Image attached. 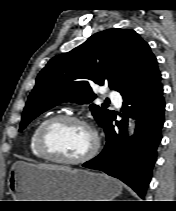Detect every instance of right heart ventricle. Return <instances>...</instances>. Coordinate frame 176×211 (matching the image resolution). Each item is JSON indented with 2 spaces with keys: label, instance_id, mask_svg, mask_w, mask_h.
I'll use <instances>...</instances> for the list:
<instances>
[{
  "label": "right heart ventricle",
  "instance_id": "1",
  "mask_svg": "<svg viewBox=\"0 0 176 211\" xmlns=\"http://www.w3.org/2000/svg\"><path fill=\"white\" fill-rule=\"evenodd\" d=\"M45 120H46V118L40 120L39 122H37L35 124V126L33 127L32 131H31L30 137H29L30 152L35 158L40 159V160H47V158L39 152V150L37 149V145H36V136H37L38 129H39L40 125Z\"/></svg>",
  "mask_w": 176,
  "mask_h": 211
}]
</instances>
